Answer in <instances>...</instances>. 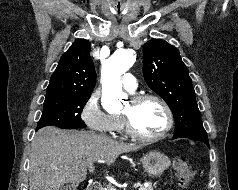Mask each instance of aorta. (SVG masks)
<instances>
[{
    "mask_svg": "<svg viewBox=\"0 0 238 190\" xmlns=\"http://www.w3.org/2000/svg\"><path fill=\"white\" fill-rule=\"evenodd\" d=\"M135 62L134 51L130 49L116 51L102 65V106L107 112L122 106L126 94L122 91L120 77Z\"/></svg>",
    "mask_w": 238,
    "mask_h": 190,
    "instance_id": "762f6f07",
    "label": "aorta"
}]
</instances>
